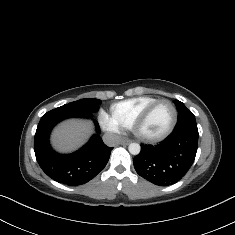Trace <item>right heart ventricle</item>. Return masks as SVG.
Instances as JSON below:
<instances>
[{
	"instance_id": "obj_1",
	"label": "right heart ventricle",
	"mask_w": 235,
	"mask_h": 235,
	"mask_svg": "<svg viewBox=\"0 0 235 235\" xmlns=\"http://www.w3.org/2000/svg\"><path fill=\"white\" fill-rule=\"evenodd\" d=\"M158 98L144 95L111 105L110 112L122 128L131 129L133 122Z\"/></svg>"
}]
</instances>
